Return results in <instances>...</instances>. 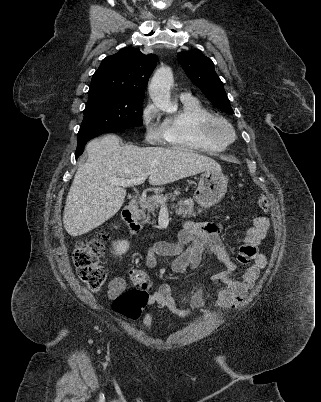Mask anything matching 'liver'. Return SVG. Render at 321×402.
<instances>
[{
	"instance_id": "obj_1",
	"label": "liver",
	"mask_w": 321,
	"mask_h": 402,
	"mask_svg": "<svg viewBox=\"0 0 321 402\" xmlns=\"http://www.w3.org/2000/svg\"><path fill=\"white\" fill-rule=\"evenodd\" d=\"M88 158L79 166L70 187L63 224L73 237L83 235L113 217L126 196L112 179H132L149 173V184L161 186L206 170L221 171L212 158L182 148L120 146L114 134L90 141Z\"/></svg>"
}]
</instances>
